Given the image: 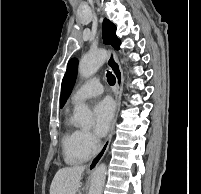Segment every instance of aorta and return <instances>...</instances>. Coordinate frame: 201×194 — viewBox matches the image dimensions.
Returning <instances> with one entry per match:
<instances>
[{"label":"aorta","instance_id":"aorta-1","mask_svg":"<svg viewBox=\"0 0 201 194\" xmlns=\"http://www.w3.org/2000/svg\"><path fill=\"white\" fill-rule=\"evenodd\" d=\"M107 58V51L98 49L86 54L79 63L78 72L80 76L89 78L94 75L103 65ZM74 121L83 128H88L92 125L93 116L91 110L86 105L77 107L74 111ZM107 167L105 164H100L96 167L90 182L88 194H102L106 180Z\"/></svg>","mask_w":201,"mask_h":194}]
</instances>
